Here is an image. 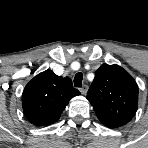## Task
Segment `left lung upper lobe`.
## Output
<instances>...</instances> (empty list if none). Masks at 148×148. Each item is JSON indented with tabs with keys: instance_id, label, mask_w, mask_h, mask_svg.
I'll return each instance as SVG.
<instances>
[{
	"instance_id": "obj_1",
	"label": "left lung upper lobe",
	"mask_w": 148,
	"mask_h": 148,
	"mask_svg": "<svg viewBox=\"0 0 148 148\" xmlns=\"http://www.w3.org/2000/svg\"><path fill=\"white\" fill-rule=\"evenodd\" d=\"M87 99L105 126L118 128L127 124L137 111L138 85L119 65L103 64L95 72Z\"/></svg>"
}]
</instances>
